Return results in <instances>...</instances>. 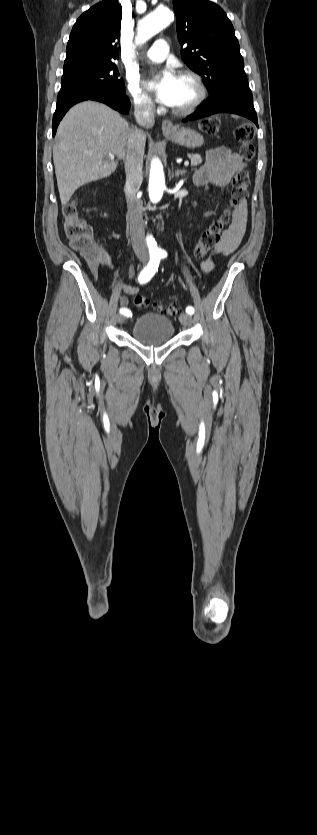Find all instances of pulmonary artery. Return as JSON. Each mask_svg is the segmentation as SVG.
<instances>
[{
	"mask_svg": "<svg viewBox=\"0 0 317 835\" xmlns=\"http://www.w3.org/2000/svg\"><path fill=\"white\" fill-rule=\"evenodd\" d=\"M169 51L168 43L164 39H158L154 42L152 47L146 52V57L154 62L163 61Z\"/></svg>",
	"mask_w": 317,
	"mask_h": 835,
	"instance_id": "pulmonary-artery-1",
	"label": "pulmonary artery"
}]
</instances>
